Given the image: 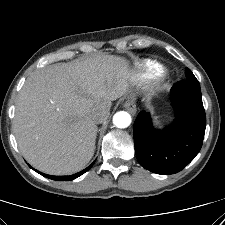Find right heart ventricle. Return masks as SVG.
I'll return each instance as SVG.
<instances>
[{"instance_id": "right-heart-ventricle-1", "label": "right heart ventricle", "mask_w": 225, "mask_h": 225, "mask_svg": "<svg viewBox=\"0 0 225 225\" xmlns=\"http://www.w3.org/2000/svg\"><path fill=\"white\" fill-rule=\"evenodd\" d=\"M162 67L155 61L145 60L140 65L139 81L146 82L157 78L161 73Z\"/></svg>"}]
</instances>
